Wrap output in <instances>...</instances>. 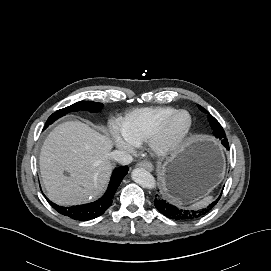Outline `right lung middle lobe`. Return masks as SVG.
<instances>
[{"label":"right lung middle lobe","mask_w":271,"mask_h":271,"mask_svg":"<svg viewBox=\"0 0 271 271\" xmlns=\"http://www.w3.org/2000/svg\"><path fill=\"white\" fill-rule=\"evenodd\" d=\"M102 103H96L92 101H80L66 108L60 109L53 113L47 120L45 124V128H47L50 124L56 121L58 118L64 116L69 112H76L80 110H89L90 112L99 111L102 108Z\"/></svg>","instance_id":"dd1d6c3e"}]
</instances>
